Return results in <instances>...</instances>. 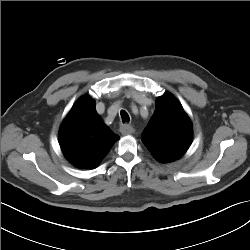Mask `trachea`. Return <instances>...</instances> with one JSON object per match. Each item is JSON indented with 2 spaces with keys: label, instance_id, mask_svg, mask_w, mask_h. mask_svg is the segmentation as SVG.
<instances>
[{
  "label": "trachea",
  "instance_id": "3493384b",
  "mask_svg": "<svg viewBox=\"0 0 250 250\" xmlns=\"http://www.w3.org/2000/svg\"><path fill=\"white\" fill-rule=\"evenodd\" d=\"M120 114L123 122H128L130 120L129 115L125 110H121Z\"/></svg>",
  "mask_w": 250,
  "mask_h": 250
}]
</instances>
